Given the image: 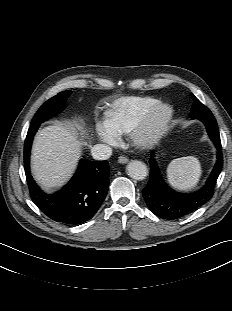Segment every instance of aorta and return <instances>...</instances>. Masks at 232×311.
<instances>
[{
    "label": "aorta",
    "mask_w": 232,
    "mask_h": 311,
    "mask_svg": "<svg viewBox=\"0 0 232 311\" xmlns=\"http://www.w3.org/2000/svg\"><path fill=\"white\" fill-rule=\"evenodd\" d=\"M127 173L135 180H143L148 174V169L144 162L132 160L127 165Z\"/></svg>",
    "instance_id": "762f6f07"
}]
</instances>
